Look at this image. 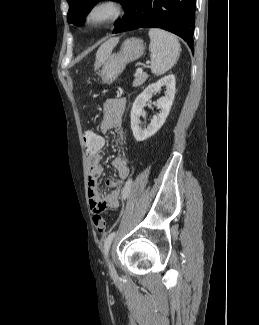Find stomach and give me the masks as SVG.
<instances>
[{"label":"stomach","mask_w":259,"mask_h":325,"mask_svg":"<svg viewBox=\"0 0 259 325\" xmlns=\"http://www.w3.org/2000/svg\"><path fill=\"white\" fill-rule=\"evenodd\" d=\"M144 53V44L141 39L128 38L118 53L111 54L104 62L100 76L103 83L111 84L123 72L126 65L139 59Z\"/></svg>","instance_id":"1"}]
</instances>
